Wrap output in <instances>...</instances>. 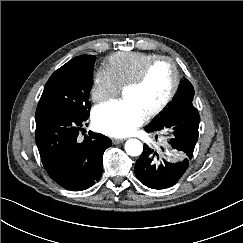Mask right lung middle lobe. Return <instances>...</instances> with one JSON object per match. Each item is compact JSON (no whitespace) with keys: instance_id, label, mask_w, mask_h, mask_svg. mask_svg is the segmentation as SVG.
Listing matches in <instances>:
<instances>
[{"instance_id":"right-lung-middle-lobe-1","label":"right lung middle lobe","mask_w":243,"mask_h":243,"mask_svg":"<svg viewBox=\"0 0 243 243\" xmlns=\"http://www.w3.org/2000/svg\"><path fill=\"white\" fill-rule=\"evenodd\" d=\"M94 62V56L82 55L56 70L44 87L36 113L89 115L91 104L88 98L93 84Z\"/></svg>"}]
</instances>
